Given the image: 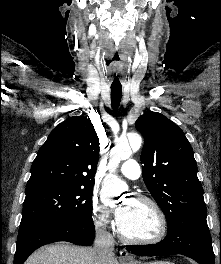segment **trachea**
<instances>
[{"label": "trachea", "instance_id": "1", "mask_svg": "<svg viewBox=\"0 0 221 264\" xmlns=\"http://www.w3.org/2000/svg\"><path fill=\"white\" fill-rule=\"evenodd\" d=\"M122 98V86L121 85H111V105L114 111L120 105V101Z\"/></svg>", "mask_w": 221, "mask_h": 264}]
</instances>
